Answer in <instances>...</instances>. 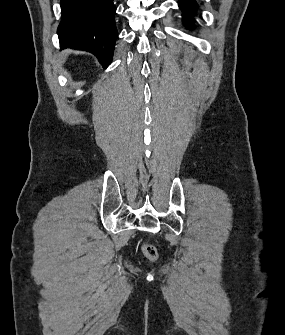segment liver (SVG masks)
I'll list each match as a JSON object with an SVG mask.
<instances>
[{
    "label": "liver",
    "instance_id": "liver-1",
    "mask_svg": "<svg viewBox=\"0 0 285 335\" xmlns=\"http://www.w3.org/2000/svg\"><path fill=\"white\" fill-rule=\"evenodd\" d=\"M66 56H68V52H62V62H65Z\"/></svg>",
    "mask_w": 285,
    "mask_h": 335
}]
</instances>
